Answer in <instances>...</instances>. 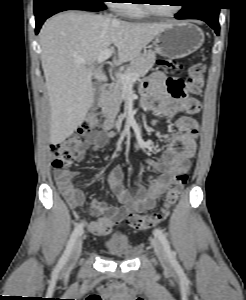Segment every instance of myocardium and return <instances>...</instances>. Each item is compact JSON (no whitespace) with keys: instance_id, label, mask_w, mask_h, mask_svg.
Masks as SVG:
<instances>
[{"instance_id":"1","label":"myocardium","mask_w":246,"mask_h":300,"mask_svg":"<svg viewBox=\"0 0 246 300\" xmlns=\"http://www.w3.org/2000/svg\"><path fill=\"white\" fill-rule=\"evenodd\" d=\"M139 6L146 14H149V15H152L155 17H160V18L174 17L181 10L180 5H176L175 9H173L169 13H162V12L155 10L151 3H143L142 5H139Z\"/></svg>"}]
</instances>
